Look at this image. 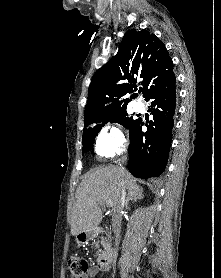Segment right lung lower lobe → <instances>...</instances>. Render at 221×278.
I'll return each instance as SVG.
<instances>
[{"label":"right lung lower lobe","mask_w":221,"mask_h":278,"mask_svg":"<svg viewBox=\"0 0 221 278\" xmlns=\"http://www.w3.org/2000/svg\"><path fill=\"white\" fill-rule=\"evenodd\" d=\"M176 78L174 73L152 87L145 95L151 102L153 121L142 131L141 119L129 129V171L134 177L148 179L165 169L172 140L176 109Z\"/></svg>","instance_id":"98d812e1"}]
</instances>
